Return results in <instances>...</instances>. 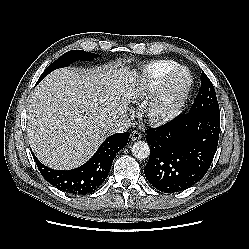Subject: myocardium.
<instances>
[{
	"label": "myocardium",
	"mask_w": 249,
	"mask_h": 249,
	"mask_svg": "<svg viewBox=\"0 0 249 249\" xmlns=\"http://www.w3.org/2000/svg\"><path fill=\"white\" fill-rule=\"evenodd\" d=\"M186 73L187 80L178 90L174 91L173 84L180 73ZM194 78L185 66H177L162 80L160 86L147 104L146 116L154 125H162L180 114L184 108L193 86Z\"/></svg>",
	"instance_id": "myocardium-1"
}]
</instances>
